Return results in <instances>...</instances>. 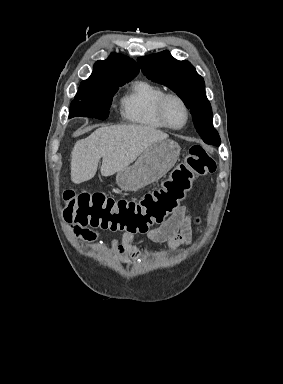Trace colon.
I'll use <instances>...</instances> for the list:
<instances>
[{
    "label": "colon",
    "instance_id": "1",
    "mask_svg": "<svg viewBox=\"0 0 283 384\" xmlns=\"http://www.w3.org/2000/svg\"><path fill=\"white\" fill-rule=\"evenodd\" d=\"M215 170L216 162L208 151L200 145H193L185 160L161 187L142 198L115 199L102 193L67 190L63 194V216L68 223L84 228L90 226L131 234L146 233L178 209L197 178Z\"/></svg>",
    "mask_w": 283,
    "mask_h": 384
}]
</instances>
